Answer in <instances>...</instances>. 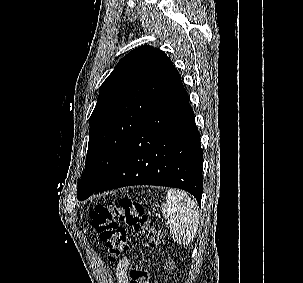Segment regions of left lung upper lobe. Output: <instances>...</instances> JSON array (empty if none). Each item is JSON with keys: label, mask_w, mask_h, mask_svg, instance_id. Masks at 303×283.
Masks as SVG:
<instances>
[{"label": "left lung upper lobe", "mask_w": 303, "mask_h": 283, "mask_svg": "<svg viewBox=\"0 0 303 283\" xmlns=\"http://www.w3.org/2000/svg\"><path fill=\"white\" fill-rule=\"evenodd\" d=\"M172 66L163 51L145 45L125 55L103 82L89 119L87 158L77 195L110 177Z\"/></svg>", "instance_id": "5c2ea615"}]
</instances>
